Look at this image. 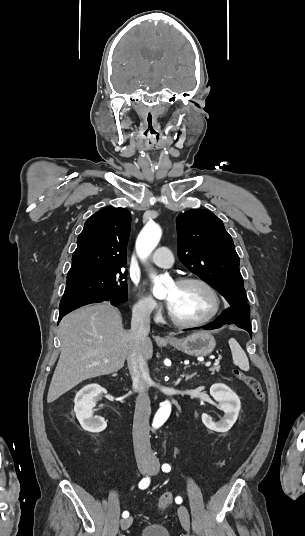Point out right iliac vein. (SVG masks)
<instances>
[{
  "mask_svg": "<svg viewBox=\"0 0 305 536\" xmlns=\"http://www.w3.org/2000/svg\"><path fill=\"white\" fill-rule=\"evenodd\" d=\"M148 468H149V467H148L147 465H140V466H139V471H140L141 473H146V472L148 471ZM132 521H133L132 517H128V518H126V519H122V520H121V526H122V529L125 530V529L129 528V527L131 526V524H132Z\"/></svg>",
  "mask_w": 305,
  "mask_h": 536,
  "instance_id": "obj_1",
  "label": "right iliac vein"
}]
</instances>
